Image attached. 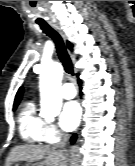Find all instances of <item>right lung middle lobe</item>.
Segmentation results:
<instances>
[{
  "label": "right lung middle lobe",
  "mask_w": 135,
  "mask_h": 166,
  "mask_svg": "<svg viewBox=\"0 0 135 166\" xmlns=\"http://www.w3.org/2000/svg\"><path fill=\"white\" fill-rule=\"evenodd\" d=\"M17 106H18V105H14V106H13V110H15V109L17 108Z\"/></svg>",
  "instance_id": "1"
}]
</instances>
